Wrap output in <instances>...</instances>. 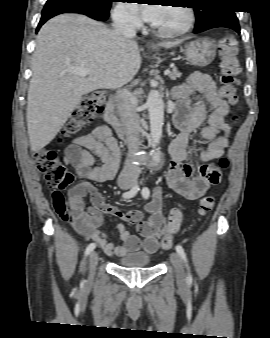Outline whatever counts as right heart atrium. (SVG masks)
Wrapping results in <instances>:
<instances>
[{
    "mask_svg": "<svg viewBox=\"0 0 270 338\" xmlns=\"http://www.w3.org/2000/svg\"><path fill=\"white\" fill-rule=\"evenodd\" d=\"M115 20L123 25L137 27L140 25V19L126 3L119 4L114 11Z\"/></svg>",
    "mask_w": 270,
    "mask_h": 338,
    "instance_id": "1",
    "label": "right heart atrium"
}]
</instances>
